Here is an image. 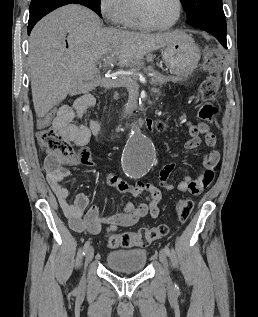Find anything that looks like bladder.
<instances>
[{"label": "bladder", "instance_id": "obj_1", "mask_svg": "<svg viewBox=\"0 0 258 317\" xmlns=\"http://www.w3.org/2000/svg\"><path fill=\"white\" fill-rule=\"evenodd\" d=\"M105 261L109 268L116 271H140L146 266L147 251L140 248L114 250L107 253Z\"/></svg>", "mask_w": 258, "mask_h": 317}]
</instances>
